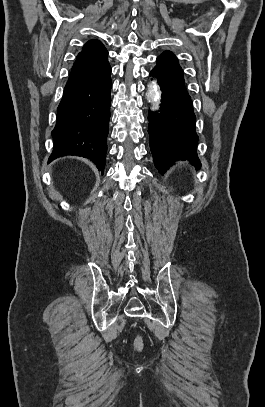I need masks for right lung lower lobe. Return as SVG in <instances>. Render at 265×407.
<instances>
[{"instance_id":"1","label":"right lung lower lobe","mask_w":265,"mask_h":407,"mask_svg":"<svg viewBox=\"0 0 265 407\" xmlns=\"http://www.w3.org/2000/svg\"><path fill=\"white\" fill-rule=\"evenodd\" d=\"M107 56L108 52L74 63L57 109L49 161L66 155L82 156L103 173L112 87Z\"/></svg>"}]
</instances>
